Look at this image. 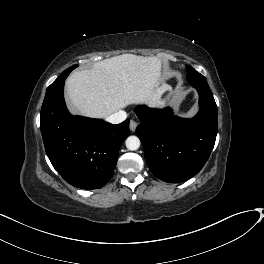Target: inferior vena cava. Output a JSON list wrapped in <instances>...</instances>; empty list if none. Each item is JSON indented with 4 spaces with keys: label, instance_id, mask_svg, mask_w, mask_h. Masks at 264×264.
Returning a JSON list of instances; mask_svg holds the SVG:
<instances>
[{
    "label": "inferior vena cava",
    "instance_id": "602c4592",
    "mask_svg": "<svg viewBox=\"0 0 264 264\" xmlns=\"http://www.w3.org/2000/svg\"><path fill=\"white\" fill-rule=\"evenodd\" d=\"M127 118V114L123 110H119L106 118V121L112 124H119Z\"/></svg>",
    "mask_w": 264,
    "mask_h": 264
}]
</instances>
